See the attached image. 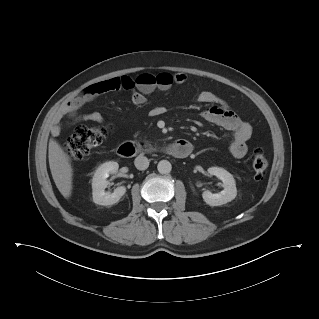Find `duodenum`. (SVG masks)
<instances>
[{"label":"duodenum","instance_id":"duodenum-1","mask_svg":"<svg viewBox=\"0 0 319 319\" xmlns=\"http://www.w3.org/2000/svg\"><path fill=\"white\" fill-rule=\"evenodd\" d=\"M192 144L184 139H179L171 143L166 151L169 155L175 158H186L192 152ZM148 148L145 145L133 142L123 143L119 146L117 152L121 157H131L140 151H146Z\"/></svg>","mask_w":319,"mask_h":319}]
</instances>
